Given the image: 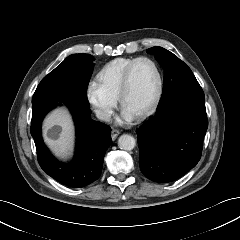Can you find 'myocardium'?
<instances>
[{
    "label": "myocardium",
    "instance_id": "1",
    "mask_svg": "<svg viewBox=\"0 0 240 240\" xmlns=\"http://www.w3.org/2000/svg\"><path fill=\"white\" fill-rule=\"evenodd\" d=\"M141 61H147L153 65L156 75H157L158 84H157V91L155 93V96H154L151 104L144 111H142L139 115L134 117L137 120L145 119L146 117L150 116L155 111V109L157 108V106L161 100V97L163 94V89H164V80H163L162 71H161L159 65L157 64V62L147 56L138 57L126 68V70L123 74L121 88H120V92H119V95L117 98L119 106L122 108L123 102L129 93L130 79H131L132 71H133L134 67L136 66V64H138Z\"/></svg>",
    "mask_w": 240,
    "mask_h": 240
}]
</instances>
